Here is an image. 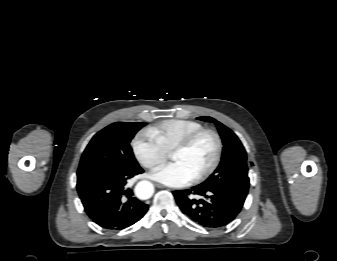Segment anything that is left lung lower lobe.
Segmentation results:
<instances>
[{
  "label": "left lung lower lobe",
  "instance_id": "1",
  "mask_svg": "<svg viewBox=\"0 0 337 261\" xmlns=\"http://www.w3.org/2000/svg\"><path fill=\"white\" fill-rule=\"evenodd\" d=\"M197 194L200 199H191ZM181 211L195 223L206 228H220L232 222L242 209L243 204L226 192L218 189H202L195 186L192 190L173 192Z\"/></svg>",
  "mask_w": 337,
  "mask_h": 261
}]
</instances>
